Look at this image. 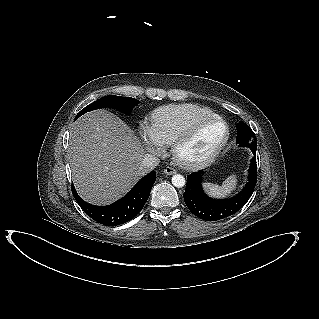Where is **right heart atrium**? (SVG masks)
Wrapping results in <instances>:
<instances>
[{"label":"right heart atrium","instance_id":"d8ad5b80","mask_svg":"<svg viewBox=\"0 0 319 319\" xmlns=\"http://www.w3.org/2000/svg\"><path fill=\"white\" fill-rule=\"evenodd\" d=\"M140 140L148 151L155 154H162L165 150V144L157 138L149 125L142 124L139 127Z\"/></svg>","mask_w":319,"mask_h":319}]
</instances>
